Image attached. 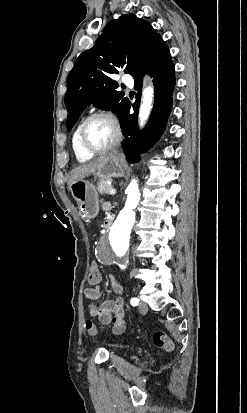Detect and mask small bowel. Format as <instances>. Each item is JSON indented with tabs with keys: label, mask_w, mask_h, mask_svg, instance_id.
<instances>
[{
	"label": "small bowel",
	"mask_w": 247,
	"mask_h": 413,
	"mask_svg": "<svg viewBox=\"0 0 247 413\" xmlns=\"http://www.w3.org/2000/svg\"><path fill=\"white\" fill-rule=\"evenodd\" d=\"M105 208H109L108 204H104ZM110 290L115 295H120L123 292V286L117 276L110 278ZM86 298L91 301L88 305V313L90 316L98 317L103 325H113V332L116 334L122 333L126 328L125 312L123 300L119 297L104 302L100 307L94 302L101 296V289H86Z\"/></svg>",
	"instance_id": "obj_1"
}]
</instances>
